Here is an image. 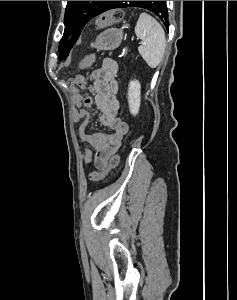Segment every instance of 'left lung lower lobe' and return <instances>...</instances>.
Returning a JSON list of instances; mask_svg holds the SVG:
<instances>
[{
    "mask_svg": "<svg viewBox=\"0 0 237 300\" xmlns=\"http://www.w3.org/2000/svg\"><path fill=\"white\" fill-rule=\"evenodd\" d=\"M115 8H120V1H110V3L105 7L104 12ZM160 8L162 10L167 8L165 1H160Z\"/></svg>",
    "mask_w": 237,
    "mask_h": 300,
    "instance_id": "left-lung-lower-lobe-1",
    "label": "left lung lower lobe"
}]
</instances>
